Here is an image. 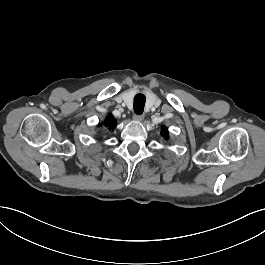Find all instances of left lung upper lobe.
<instances>
[{
    "label": "left lung upper lobe",
    "mask_w": 265,
    "mask_h": 265,
    "mask_svg": "<svg viewBox=\"0 0 265 265\" xmlns=\"http://www.w3.org/2000/svg\"><path fill=\"white\" fill-rule=\"evenodd\" d=\"M161 134H162V136H164L165 139H168L169 138V136H168V130H167L166 127H163L162 128Z\"/></svg>",
    "instance_id": "5c2ea615"
}]
</instances>
